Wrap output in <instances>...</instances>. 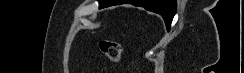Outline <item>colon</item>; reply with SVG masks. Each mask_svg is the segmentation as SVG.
Segmentation results:
<instances>
[{
  "label": "colon",
  "mask_w": 244,
  "mask_h": 73,
  "mask_svg": "<svg viewBox=\"0 0 244 73\" xmlns=\"http://www.w3.org/2000/svg\"><path fill=\"white\" fill-rule=\"evenodd\" d=\"M100 50L107 59L118 62L122 57V47L120 42L116 40H102L99 44Z\"/></svg>",
  "instance_id": "5ec220e1"
}]
</instances>
